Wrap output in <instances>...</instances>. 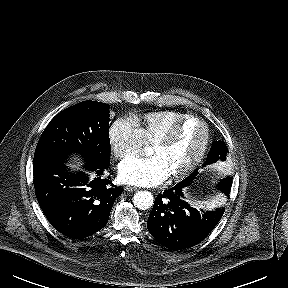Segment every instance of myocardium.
Listing matches in <instances>:
<instances>
[{
  "mask_svg": "<svg viewBox=\"0 0 288 288\" xmlns=\"http://www.w3.org/2000/svg\"><path fill=\"white\" fill-rule=\"evenodd\" d=\"M189 121H197L202 124L204 128V141L203 145L197 155V157L181 172L175 173L171 175L172 180L180 181L188 177L193 173V171L202 163L205 155L208 151L210 141H211V133L210 128L207 122L196 116V115H188L171 125L164 133H162L154 142L153 145H167L173 141L179 130Z\"/></svg>",
  "mask_w": 288,
  "mask_h": 288,
  "instance_id": "obj_1",
  "label": "myocardium"
}]
</instances>
